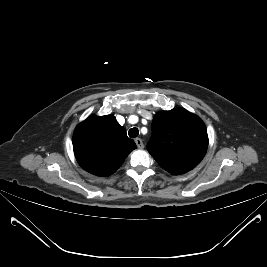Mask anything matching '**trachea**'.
<instances>
[{
    "label": "trachea",
    "instance_id": "obj_1",
    "mask_svg": "<svg viewBox=\"0 0 267 267\" xmlns=\"http://www.w3.org/2000/svg\"><path fill=\"white\" fill-rule=\"evenodd\" d=\"M138 134H139V130H138V128H136V127L131 128V129L129 130V132H128V135H129V137H131V138H135V137H137Z\"/></svg>",
    "mask_w": 267,
    "mask_h": 267
}]
</instances>
